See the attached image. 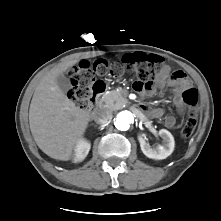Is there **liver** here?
Returning a JSON list of instances; mask_svg holds the SVG:
<instances>
[{
	"mask_svg": "<svg viewBox=\"0 0 221 221\" xmlns=\"http://www.w3.org/2000/svg\"><path fill=\"white\" fill-rule=\"evenodd\" d=\"M77 62L61 63L45 74L35 88L29 109L36 144L46 155L61 161L72 158L90 120V113L76 106L57 84V77Z\"/></svg>",
	"mask_w": 221,
	"mask_h": 221,
	"instance_id": "1",
	"label": "liver"
}]
</instances>
